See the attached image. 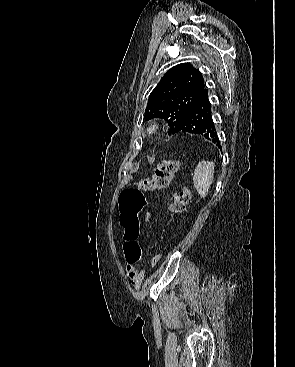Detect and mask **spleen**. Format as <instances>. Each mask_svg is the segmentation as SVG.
Listing matches in <instances>:
<instances>
[{
  "label": "spleen",
  "mask_w": 295,
  "mask_h": 367,
  "mask_svg": "<svg viewBox=\"0 0 295 367\" xmlns=\"http://www.w3.org/2000/svg\"><path fill=\"white\" fill-rule=\"evenodd\" d=\"M215 165L211 161H201L194 170V186L201 198L208 194L214 178Z\"/></svg>",
  "instance_id": "spleen-1"
}]
</instances>
